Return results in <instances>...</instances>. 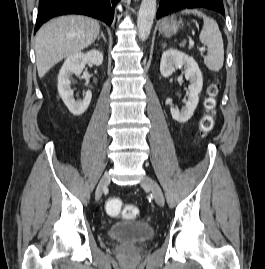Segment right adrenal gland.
Masks as SVG:
<instances>
[{
    "instance_id": "right-adrenal-gland-1",
    "label": "right adrenal gland",
    "mask_w": 265,
    "mask_h": 269,
    "mask_svg": "<svg viewBox=\"0 0 265 269\" xmlns=\"http://www.w3.org/2000/svg\"><path fill=\"white\" fill-rule=\"evenodd\" d=\"M103 39L105 42H107L106 41V38H105V36H104V34H103V32L101 31V34H100V36L97 38L98 39V41L100 40V39Z\"/></svg>"
}]
</instances>
